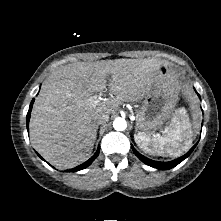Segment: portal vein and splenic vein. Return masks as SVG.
Wrapping results in <instances>:
<instances>
[{
  "mask_svg": "<svg viewBox=\"0 0 221 221\" xmlns=\"http://www.w3.org/2000/svg\"><path fill=\"white\" fill-rule=\"evenodd\" d=\"M94 99H95V102L97 103V102H99L100 100H102V98L101 97H98V98H96V97H93Z\"/></svg>",
  "mask_w": 221,
  "mask_h": 221,
  "instance_id": "portal-vein-and-splenic-vein-1",
  "label": "portal vein and splenic vein"
}]
</instances>
